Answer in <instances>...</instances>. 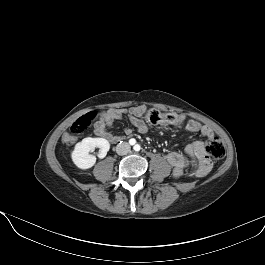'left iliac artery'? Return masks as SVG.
<instances>
[{
	"label": "left iliac artery",
	"instance_id": "44dca946",
	"mask_svg": "<svg viewBox=\"0 0 265 265\" xmlns=\"http://www.w3.org/2000/svg\"><path fill=\"white\" fill-rule=\"evenodd\" d=\"M134 149H135V151H139V150L141 149V147H140V145L136 144V145L134 146Z\"/></svg>",
	"mask_w": 265,
	"mask_h": 265
}]
</instances>
